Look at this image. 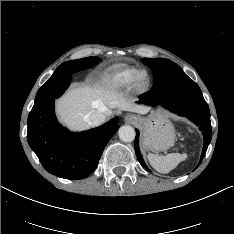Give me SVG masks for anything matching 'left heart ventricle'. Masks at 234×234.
I'll return each mask as SVG.
<instances>
[{
  "label": "left heart ventricle",
  "instance_id": "1",
  "mask_svg": "<svg viewBox=\"0 0 234 234\" xmlns=\"http://www.w3.org/2000/svg\"><path fill=\"white\" fill-rule=\"evenodd\" d=\"M146 81H147V76H146V74H143V75L140 77V83L145 84Z\"/></svg>",
  "mask_w": 234,
  "mask_h": 234
}]
</instances>
